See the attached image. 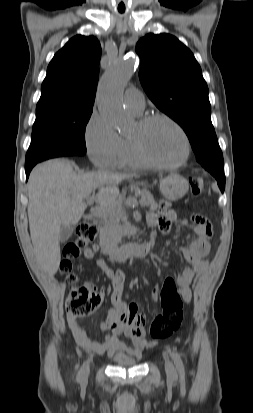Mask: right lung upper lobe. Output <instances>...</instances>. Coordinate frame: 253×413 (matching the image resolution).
Here are the masks:
<instances>
[{"mask_svg": "<svg viewBox=\"0 0 253 413\" xmlns=\"http://www.w3.org/2000/svg\"><path fill=\"white\" fill-rule=\"evenodd\" d=\"M100 57L101 46L94 36L70 39L48 66L36 113L92 109Z\"/></svg>", "mask_w": 253, "mask_h": 413, "instance_id": "obj_1", "label": "right lung upper lobe"}]
</instances>
